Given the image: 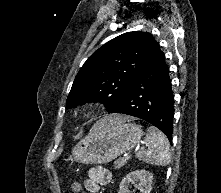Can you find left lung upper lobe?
<instances>
[{
  "label": "left lung upper lobe",
  "mask_w": 221,
  "mask_h": 193,
  "mask_svg": "<svg viewBox=\"0 0 221 193\" xmlns=\"http://www.w3.org/2000/svg\"><path fill=\"white\" fill-rule=\"evenodd\" d=\"M163 55L150 33L119 35L84 63L67 97V107L101 101L109 111L126 96L132 82Z\"/></svg>",
  "instance_id": "5c2ea615"
}]
</instances>
